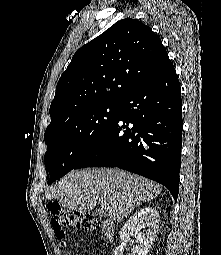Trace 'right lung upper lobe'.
I'll return each mask as SVG.
<instances>
[{
	"label": "right lung upper lobe",
	"instance_id": "1",
	"mask_svg": "<svg viewBox=\"0 0 221 255\" xmlns=\"http://www.w3.org/2000/svg\"><path fill=\"white\" fill-rule=\"evenodd\" d=\"M167 59L150 27L132 18L116 22L74 54L58 81L46 130L84 108L120 103Z\"/></svg>",
	"mask_w": 221,
	"mask_h": 255
}]
</instances>
